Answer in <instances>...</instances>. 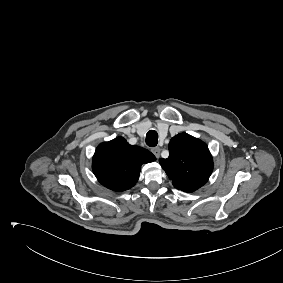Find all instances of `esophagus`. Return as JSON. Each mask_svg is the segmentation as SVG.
Wrapping results in <instances>:
<instances>
[{
	"instance_id": "obj_1",
	"label": "esophagus",
	"mask_w": 283,
	"mask_h": 283,
	"mask_svg": "<svg viewBox=\"0 0 283 283\" xmlns=\"http://www.w3.org/2000/svg\"><path fill=\"white\" fill-rule=\"evenodd\" d=\"M161 149L159 147L152 148V153L155 155L156 158L160 157Z\"/></svg>"
}]
</instances>
